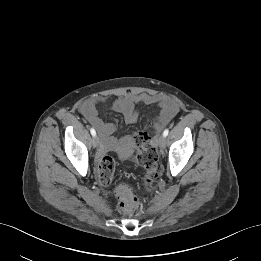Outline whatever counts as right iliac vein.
Wrapping results in <instances>:
<instances>
[{
  "instance_id": "right-iliac-vein-1",
  "label": "right iliac vein",
  "mask_w": 261,
  "mask_h": 261,
  "mask_svg": "<svg viewBox=\"0 0 261 261\" xmlns=\"http://www.w3.org/2000/svg\"><path fill=\"white\" fill-rule=\"evenodd\" d=\"M99 137L98 136H93V138H92V145H93V147L94 148H97L98 146H99Z\"/></svg>"
}]
</instances>
